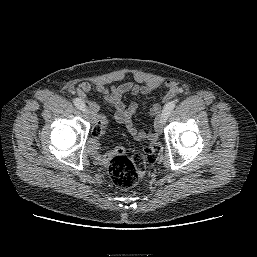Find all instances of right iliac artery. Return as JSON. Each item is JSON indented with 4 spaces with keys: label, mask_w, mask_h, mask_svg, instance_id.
I'll list each match as a JSON object with an SVG mask.
<instances>
[{
    "label": "right iliac artery",
    "mask_w": 257,
    "mask_h": 257,
    "mask_svg": "<svg viewBox=\"0 0 257 257\" xmlns=\"http://www.w3.org/2000/svg\"><path fill=\"white\" fill-rule=\"evenodd\" d=\"M73 103H74V105H75L78 109H80V110H82V111L85 110V104H84V102H83L80 98H75V99L73 100Z\"/></svg>",
    "instance_id": "82829eb1"
}]
</instances>
